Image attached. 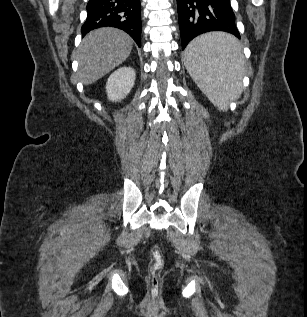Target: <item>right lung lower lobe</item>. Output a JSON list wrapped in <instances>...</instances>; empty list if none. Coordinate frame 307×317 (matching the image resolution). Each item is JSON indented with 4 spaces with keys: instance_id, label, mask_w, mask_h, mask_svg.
<instances>
[{
    "instance_id": "obj_1",
    "label": "right lung lower lobe",
    "mask_w": 307,
    "mask_h": 317,
    "mask_svg": "<svg viewBox=\"0 0 307 317\" xmlns=\"http://www.w3.org/2000/svg\"><path fill=\"white\" fill-rule=\"evenodd\" d=\"M87 13L82 36L95 28L111 26L124 30L141 46L140 0H89Z\"/></svg>"
}]
</instances>
